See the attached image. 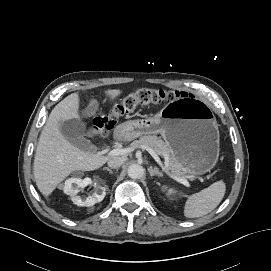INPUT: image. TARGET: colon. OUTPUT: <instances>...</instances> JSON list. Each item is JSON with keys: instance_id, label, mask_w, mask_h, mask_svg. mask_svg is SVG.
Returning <instances> with one entry per match:
<instances>
[{"instance_id": "colon-1", "label": "colon", "mask_w": 271, "mask_h": 271, "mask_svg": "<svg viewBox=\"0 0 271 271\" xmlns=\"http://www.w3.org/2000/svg\"><path fill=\"white\" fill-rule=\"evenodd\" d=\"M174 97L172 92L161 89H139L119 103H117L110 113L94 119V133L97 137H104L107 131L113 126L117 117L128 113L136 108L144 107L149 104L161 103Z\"/></svg>"}]
</instances>
